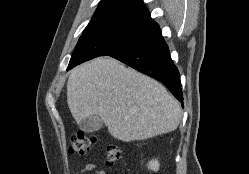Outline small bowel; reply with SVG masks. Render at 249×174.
Listing matches in <instances>:
<instances>
[{
    "label": "small bowel",
    "mask_w": 249,
    "mask_h": 174,
    "mask_svg": "<svg viewBox=\"0 0 249 174\" xmlns=\"http://www.w3.org/2000/svg\"><path fill=\"white\" fill-rule=\"evenodd\" d=\"M94 171L95 174H107L103 169H97V166L93 163L87 164L82 170L77 172V174H86Z\"/></svg>",
    "instance_id": "small-bowel-1"
}]
</instances>
